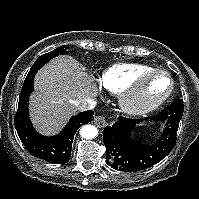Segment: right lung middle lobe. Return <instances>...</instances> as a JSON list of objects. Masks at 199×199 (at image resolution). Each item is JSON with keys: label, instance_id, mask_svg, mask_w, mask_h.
Wrapping results in <instances>:
<instances>
[{"label": "right lung middle lobe", "instance_id": "dd1d6c3e", "mask_svg": "<svg viewBox=\"0 0 199 199\" xmlns=\"http://www.w3.org/2000/svg\"><path fill=\"white\" fill-rule=\"evenodd\" d=\"M69 48L68 45H63V46H60L58 47L57 49L49 52V53H46V54H43L41 55L35 63H40L42 61H45V62H48L50 59H53L54 57L58 56V55H63V54H67L68 51L67 49Z\"/></svg>", "mask_w": 199, "mask_h": 199}]
</instances>
